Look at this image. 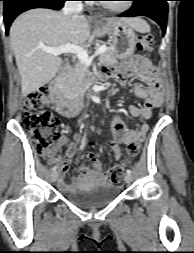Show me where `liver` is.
<instances>
[{
	"label": "liver",
	"mask_w": 194,
	"mask_h": 253,
	"mask_svg": "<svg viewBox=\"0 0 194 253\" xmlns=\"http://www.w3.org/2000/svg\"><path fill=\"white\" fill-rule=\"evenodd\" d=\"M118 21L141 33L150 30L147 22L139 17L107 19L102 29H96L93 35L101 37L109 33ZM9 35L21 77L22 95L26 97L49 83L61 66V58L46 53L41 47L56 48L66 43L81 45L91 37V31L83 15L66 16L62 12L37 8L18 16Z\"/></svg>",
	"instance_id": "1"
}]
</instances>
